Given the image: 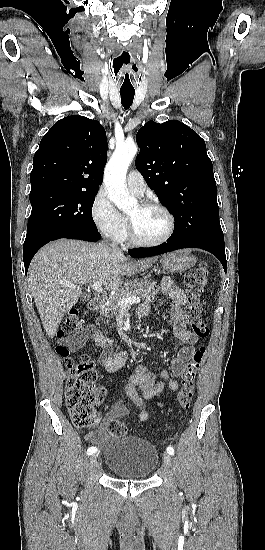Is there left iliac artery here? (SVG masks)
<instances>
[{
	"instance_id": "obj_1",
	"label": "left iliac artery",
	"mask_w": 265,
	"mask_h": 550,
	"mask_svg": "<svg viewBox=\"0 0 265 550\" xmlns=\"http://www.w3.org/2000/svg\"><path fill=\"white\" fill-rule=\"evenodd\" d=\"M166 450H167V453H168L169 455H174V449H173V447L169 446V447H167Z\"/></svg>"
}]
</instances>
